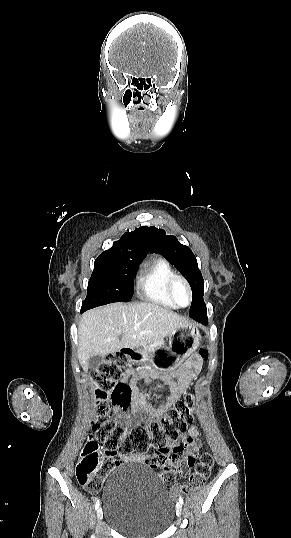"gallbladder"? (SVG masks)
<instances>
[{"label": "gallbladder", "mask_w": 291, "mask_h": 538, "mask_svg": "<svg viewBox=\"0 0 291 538\" xmlns=\"http://www.w3.org/2000/svg\"><path fill=\"white\" fill-rule=\"evenodd\" d=\"M88 362H89V368L92 370H96L102 364L103 358L99 355H95V356L90 357Z\"/></svg>", "instance_id": "obj_1"}]
</instances>
